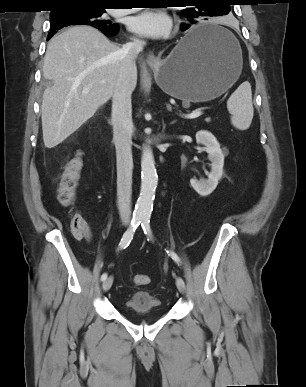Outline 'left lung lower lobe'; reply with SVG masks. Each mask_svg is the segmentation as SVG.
I'll use <instances>...</instances> for the list:
<instances>
[{"label": "left lung lower lobe", "mask_w": 306, "mask_h": 387, "mask_svg": "<svg viewBox=\"0 0 306 387\" xmlns=\"http://www.w3.org/2000/svg\"><path fill=\"white\" fill-rule=\"evenodd\" d=\"M190 27L188 24L182 25V30L185 31ZM189 33V32H187ZM224 32L218 30H208L205 32H193L187 36V44L192 45L201 41H206L210 39H223Z\"/></svg>", "instance_id": "left-lung-lower-lobe-1"}]
</instances>
